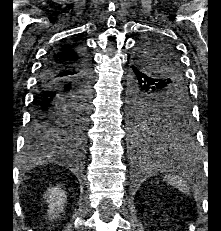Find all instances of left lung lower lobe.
Masks as SVG:
<instances>
[{
    "label": "left lung lower lobe",
    "instance_id": "1",
    "mask_svg": "<svg viewBox=\"0 0 221 231\" xmlns=\"http://www.w3.org/2000/svg\"><path fill=\"white\" fill-rule=\"evenodd\" d=\"M129 75L130 84V105L129 118L137 117L144 108L146 97L150 94L158 93L162 87V82L146 72L138 64H133ZM180 135H156L152 138H140L132 130L134 145L141 151H146L153 163L159 161L158 151H167L170 156L167 161L179 168H185L189 158L194 155L195 143L194 135L189 129V120L177 124Z\"/></svg>",
    "mask_w": 221,
    "mask_h": 231
}]
</instances>
